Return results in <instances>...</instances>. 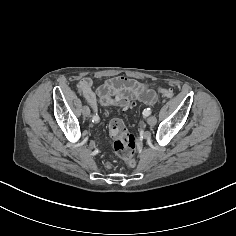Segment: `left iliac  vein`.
Masks as SVG:
<instances>
[{
	"label": "left iliac vein",
	"mask_w": 236,
	"mask_h": 236,
	"mask_svg": "<svg viewBox=\"0 0 236 236\" xmlns=\"http://www.w3.org/2000/svg\"><path fill=\"white\" fill-rule=\"evenodd\" d=\"M147 122L150 126H154L157 123V118L155 116H150L148 117Z\"/></svg>",
	"instance_id": "4c4485c4"
}]
</instances>
